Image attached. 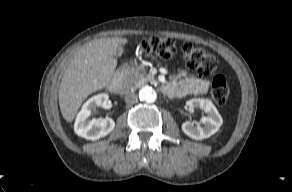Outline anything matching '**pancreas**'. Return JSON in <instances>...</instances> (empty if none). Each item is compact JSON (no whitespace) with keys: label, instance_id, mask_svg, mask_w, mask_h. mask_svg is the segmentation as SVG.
<instances>
[{"label":"pancreas","instance_id":"obj_1","mask_svg":"<svg viewBox=\"0 0 292 192\" xmlns=\"http://www.w3.org/2000/svg\"><path fill=\"white\" fill-rule=\"evenodd\" d=\"M126 79L130 82V84L133 87L144 85L149 81L150 82L154 81L153 76L146 74V71L143 65L133 70H130L126 75Z\"/></svg>","mask_w":292,"mask_h":192}]
</instances>
